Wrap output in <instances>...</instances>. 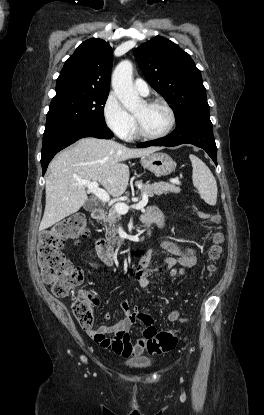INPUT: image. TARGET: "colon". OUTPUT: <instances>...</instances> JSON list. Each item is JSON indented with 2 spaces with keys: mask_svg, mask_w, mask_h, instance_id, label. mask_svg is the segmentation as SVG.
I'll list each match as a JSON object with an SVG mask.
<instances>
[{
  "mask_svg": "<svg viewBox=\"0 0 264 415\" xmlns=\"http://www.w3.org/2000/svg\"><path fill=\"white\" fill-rule=\"evenodd\" d=\"M214 225L216 232L209 249L208 256L212 264L209 273L215 270L214 262L222 252L223 236L219 231L221 215L218 211L200 212ZM87 236L86 218L79 214L64 219L61 223L43 229L38 236L37 254L38 266L43 281L51 285L53 295L57 297L73 296L72 312L80 326L91 329L93 325V308L97 297L91 291L82 287L85 278L84 271L73 265L62 253L67 240H79ZM142 320H150V314L144 311L139 314ZM150 354H161L173 349L178 343V336L173 331H155L147 326L145 339L142 340Z\"/></svg>",
  "mask_w": 264,
  "mask_h": 415,
  "instance_id": "5ec220e1",
  "label": "colon"
}]
</instances>
